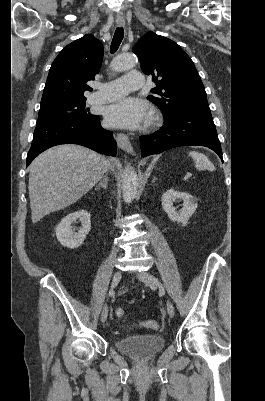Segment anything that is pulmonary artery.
<instances>
[{"instance_id": "1", "label": "pulmonary artery", "mask_w": 265, "mask_h": 401, "mask_svg": "<svg viewBox=\"0 0 265 401\" xmlns=\"http://www.w3.org/2000/svg\"><path fill=\"white\" fill-rule=\"evenodd\" d=\"M117 71H122L118 69ZM143 78L141 72H128L127 75H121L120 78H111L106 83L93 82V87L101 86L96 96L89 98L92 103H106L111 101H123L127 93L132 90H139L140 82ZM127 84V88L125 87Z\"/></svg>"}]
</instances>
